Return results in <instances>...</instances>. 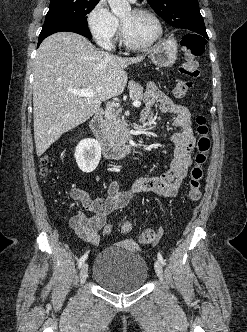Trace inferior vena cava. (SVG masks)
<instances>
[{
  "mask_svg": "<svg viewBox=\"0 0 247 332\" xmlns=\"http://www.w3.org/2000/svg\"><path fill=\"white\" fill-rule=\"evenodd\" d=\"M105 117H106L108 123H112L113 115H112V112H111V108H109V107L106 108Z\"/></svg>",
  "mask_w": 247,
  "mask_h": 332,
  "instance_id": "602c4592",
  "label": "inferior vena cava"
}]
</instances>
